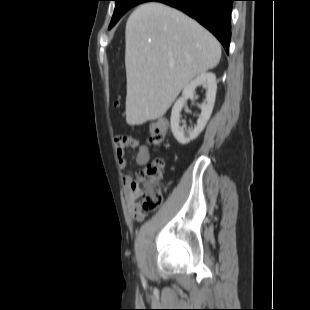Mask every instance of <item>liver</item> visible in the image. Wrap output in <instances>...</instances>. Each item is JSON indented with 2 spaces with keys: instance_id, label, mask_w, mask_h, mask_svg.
I'll list each match as a JSON object with an SVG mask.
<instances>
[{
  "instance_id": "obj_1",
  "label": "liver",
  "mask_w": 310,
  "mask_h": 310,
  "mask_svg": "<svg viewBox=\"0 0 310 310\" xmlns=\"http://www.w3.org/2000/svg\"><path fill=\"white\" fill-rule=\"evenodd\" d=\"M126 122L162 117L196 76L216 67L217 39L184 13L161 3L140 5L125 30Z\"/></svg>"
}]
</instances>
